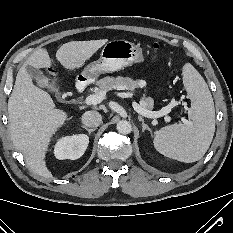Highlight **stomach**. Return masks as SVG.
Returning <instances> with one entry per match:
<instances>
[{
  "instance_id": "stomach-1",
  "label": "stomach",
  "mask_w": 233,
  "mask_h": 233,
  "mask_svg": "<svg viewBox=\"0 0 233 233\" xmlns=\"http://www.w3.org/2000/svg\"><path fill=\"white\" fill-rule=\"evenodd\" d=\"M142 62L144 55L139 45L127 40H112L104 45L100 58L83 69L81 76L92 82L100 74L116 72L134 63Z\"/></svg>"
}]
</instances>
